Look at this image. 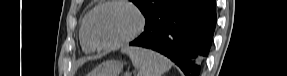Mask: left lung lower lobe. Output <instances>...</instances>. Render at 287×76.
Instances as JSON below:
<instances>
[{"label":"left lung lower lobe","mask_w":287,"mask_h":76,"mask_svg":"<svg viewBox=\"0 0 287 76\" xmlns=\"http://www.w3.org/2000/svg\"><path fill=\"white\" fill-rule=\"evenodd\" d=\"M216 24L215 0H172L154 12L130 43L160 52L186 76H199Z\"/></svg>","instance_id":"0a47b994"}]
</instances>
